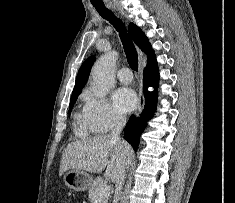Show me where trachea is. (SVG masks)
<instances>
[{
	"mask_svg": "<svg viewBox=\"0 0 235 203\" xmlns=\"http://www.w3.org/2000/svg\"><path fill=\"white\" fill-rule=\"evenodd\" d=\"M98 13L104 18L107 19L119 32L120 39L123 44V48L127 57V61L130 67L138 71V55L136 48L129 37L127 30L120 19L115 17L111 11H109L104 4H93Z\"/></svg>",
	"mask_w": 235,
	"mask_h": 203,
	"instance_id": "trachea-1",
	"label": "trachea"
}]
</instances>
